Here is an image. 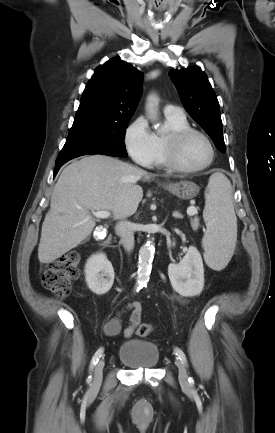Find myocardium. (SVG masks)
Returning a JSON list of instances; mask_svg holds the SVG:
<instances>
[{
	"label": "myocardium",
	"mask_w": 275,
	"mask_h": 433,
	"mask_svg": "<svg viewBox=\"0 0 275 433\" xmlns=\"http://www.w3.org/2000/svg\"><path fill=\"white\" fill-rule=\"evenodd\" d=\"M192 135L201 136L208 144L210 149L209 160L198 167H186L184 166L179 158L180 148L183 142ZM216 156V150L213 141L204 131L196 128H185L179 131L169 133L165 138V158L167 166L174 171L180 173H197L207 169L214 161Z\"/></svg>",
	"instance_id": "obj_1"
}]
</instances>
